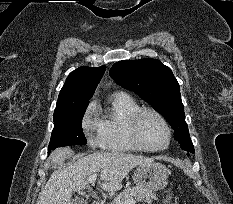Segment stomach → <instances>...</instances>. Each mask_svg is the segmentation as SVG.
<instances>
[{"label":"stomach","mask_w":233,"mask_h":204,"mask_svg":"<svg viewBox=\"0 0 233 204\" xmlns=\"http://www.w3.org/2000/svg\"><path fill=\"white\" fill-rule=\"evenodd\" d=\"M169 170L159 162H148L139 165L133 175L137 187L148 189L152 192L163 190L168 184Z\"/></svg>","instance_id":"stomach-1"}]
</instances>
